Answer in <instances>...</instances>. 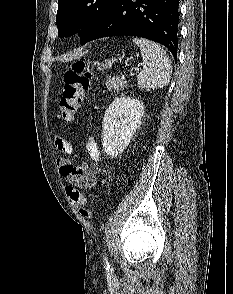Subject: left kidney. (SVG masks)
Masks as SVG:
<instances>
[{
  "mask_svg": "<svg viewBox=\"0 0 233 294\" xmlns=\"http://www.w3.org/2000/svg\"><path fill=\"white\" fill-rule=\"evenodd\" d=\"M144 114L143 103L130 97L116 98L107 108L103 120V149L117 157L129 145Z\"/></svg>",
  "mask_w": 233,
  "mask_h": 294,
  "instance_id": "left-kidney-1",
  "label": "left kidney"
}]
</instances>
